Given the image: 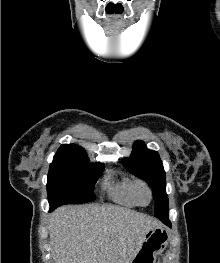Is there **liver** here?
<instances>
[{"label": "liver", "mask_w": 220, "mask_h": 263, "mask_svg": "<svg viewBox=\"0 0 220 263\" xmlns=\"http://www.w3.org/2000/svg\"><path fill=\"white\" fill-rule=\"evenodd\" d=\"M48 229L55 263H130L155 218L115 205H64Z\"/></svg>", "instance_id": "6515ba94"}]
</instances>
